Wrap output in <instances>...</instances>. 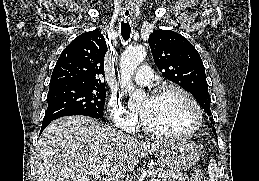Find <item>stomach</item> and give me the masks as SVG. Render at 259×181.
Wrapping results in <instances>:
<instances>
[{"instance_id":"0dacf381","label":"stomach","mask_w":259,"mask_h":181,"mask_svg":"<svg viewBox=\"0 0 259 181\" xmlns=\"http://www.w3.org/2000/svg\"><path fill=\"white\" fill-rule=\"evenodd\" d=\"M200 149L190 141H168L160 150L159 164L167 170L185 171L200 157Z\"/></svg>"}]
</instances>
